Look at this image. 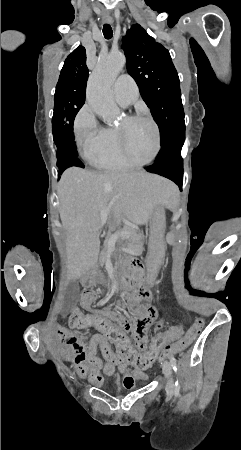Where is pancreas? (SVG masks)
Masks as SVG:
<instances>
[{
    "instance_id": "1",
    "label": "pancreas",
    "mask_w": 241,
    "mask_h": 450,
    "mask_svg": "<svg viewBox=\"0 0 241 450\" xmlns=\"http://www.w3.org/2000/svg\"><path fill=\"white\" fill-rule=\"evenodd\" d=\"M129 230V235L125 236V238L127 237V242H134V245H130V250H139L142 246L141 241L143 240L141 237L139 239H137V237L140 236L139 232H133V227H128ZM122 231H126V230H121ZM110 232H113V230H110ZM116 233H120V232H116ZM111 234H108L107 238H110ZM137 240H139L140 242H138ZM106 250H107V246L105 244L102 252H101V260H100V264H104L103 260H105V254H106Z\"/></svg>"
}]
</instances>
